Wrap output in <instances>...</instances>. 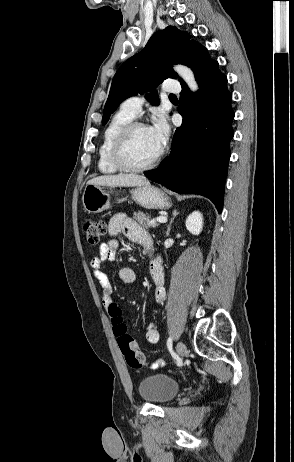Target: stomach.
Here are the masks:
<instances>
[{
  "label": "stomach",
  "mask_w": 294,
  "mask_h": 462,
  "mask_svg": "<svg viewBox=\"0 0 294 462\" xmlns=\"http://www.w3.org/2000/svg\"><path fill=\"white\" fill-rule=\"evenodd\" d=\"M113 193L100 185H87L82 203L88 213H100L112 208ZM132 199L147 209H168L172 203L170 198L159 188L144 185L131 190Z\"/></svg>",
  "instance_id": "stomach-1"
}]
</instances>
